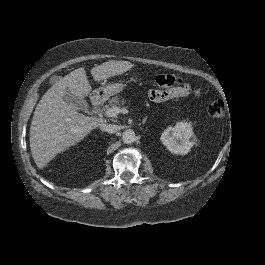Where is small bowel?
Returning a JSON list of instances; mask_svg holds the SVG:
<instances>
[{
    "mask_svg": "<svg viewBox=\"0 0 265 265\" xmlns=\"http://www.w3.org/2000/svg\"><path fill=\"white\" fill-rule=\"evenodd\" d=\"M202 93L201 89L195 88L192 89L188 85H184L183 87L171 88V89H164V90H151L149 92V98L153 102H165L168 100L184 97L190 94L200 95Z\"/></svg>",
    "mask_w": 265,
    "mask_h": 265,
    "instance_id": "small-bowel-1",
    "label": "small bowel"
}]
</instances>
